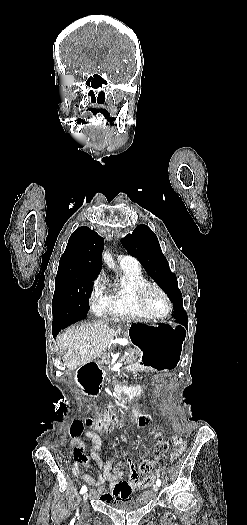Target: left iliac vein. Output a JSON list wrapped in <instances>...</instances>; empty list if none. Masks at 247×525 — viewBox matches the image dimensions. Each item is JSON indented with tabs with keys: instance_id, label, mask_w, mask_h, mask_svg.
<instances>
[{
	"instance_id": "1",
	"label": "left iliac vein",
	"mask_w": 247,
	"mask_h": 525,
	"mask_svg": "<svg viewBox=\"0 0 247 525\" xmlns=\"http://www.w3.org/2000/svg\"><path fill=\"white\" fill-rule=\"evenodd\" d=\"M153 490H154L155 492H158V490H159V486L154 485V486H153Z\"/></svg>"
}]
</instances>
